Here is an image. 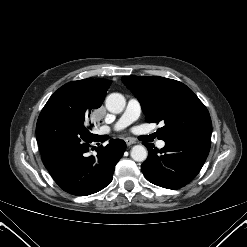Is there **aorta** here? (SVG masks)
Masks as SVG:
<instances>
[{
	"label": "aorta",
	"instance_id": "obj_1",
	"mask_svg": "<svg viewBox=\"0 0 247 247\" xmlns=\"http://www.w3.org/2000/svg\"><path fill=\"white\" fill-rule=\"evenodd\" d=\"M106 108L111 113H121L126 105L125 97L120 93H111L106 98ZM131 158L137 162H143L147 159L148 152L143 145H135L131 149Z\"/></svg>",
	"mask_w": 247,
	"mask_h": 247
}]
</instances>
